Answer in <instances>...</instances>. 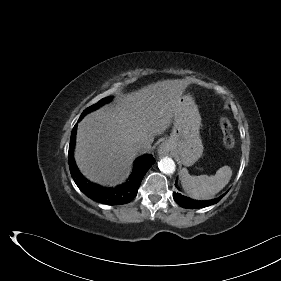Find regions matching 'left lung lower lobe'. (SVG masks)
Wrapping results in <instances>:
<instances>
[{
  "mask_svg": "<svg viewBox=\"0 0 281 281\" xmlns=\"http://www.w3.org/2000/svg\"><path fill=\"white\" fill-rule=\"evenodd\" d=\"M226 194V193H225ZM225 194L221 195L220 197L208 201H197L190 199L180 193H173L174 200L183 208H203L219 202Z\"/></svg>",
  "mask_w": 281,
  "mask_h": 281,
  "instance_id": "obj_1",
  "label": "left lung lower lobe"
}]
</instances>
